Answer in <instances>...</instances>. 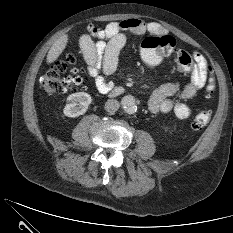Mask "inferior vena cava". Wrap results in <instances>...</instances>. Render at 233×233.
I'll use <instances>...</instances> for the list:
<instances>
[{
    "label": "inferior vena cava",
    "instance_id": "602c4592",
    "mask_svg": "<svg viewBox=\"0 0 233 233\" xmlns=\"http://www.w3.org/2000/svg\"><path fill=\"white\" fill-rule=\"evenodd\" d=\"M119 107H120V104L115 99H109L105 103V110L109 113L116 112L119 109Z\"/></svg>",
    "mask_w": 233,
    "mask_h": 233
}]
</instances>
